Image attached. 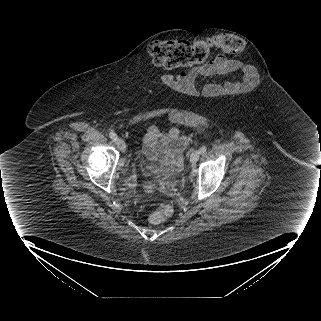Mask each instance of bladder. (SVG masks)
<instances>
[{"mask_svg":"<svg viewBox=\"0 0 321 321\" xmlns=\"http://www.w3.org/2000/svg\"><path fill=\"white\" fill-rule=\"evenodd\" d=\"M140 169L146 174L150 175L153 178L166 179L168 176L163 174L159 167L155 164L154 160L147 156L146 159L142 160L139 164Z\"/></svg>","mask_w":321,"mask_h":321,"instance_id":"31cf9c89","label":"bladder"}]
</instances>
